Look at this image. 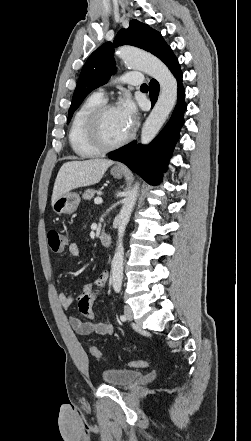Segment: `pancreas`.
<instances>
[{
  "label": "pancreas",
  "instance_id": "obj_1",
  "mask_svg": "<svg viewBox=\"0 0 251 441\" xmlns=\"http://www.w3.org/2000/svg\"><path fill=\"white\" fill-rule=\"evenodd\" d=\"M98 193L97 190L94 189H87L83 194H82V198L85 200H91L94 195Z\"/></svg>",
  "mask_w": 251,
  "mask_h": 441
}]
</instances>
